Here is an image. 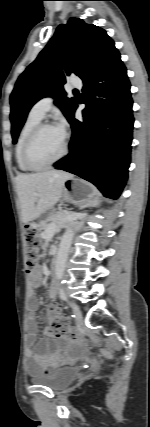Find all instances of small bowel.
Masks as SVG:
<instances>
[{
	"label": "small bowel",
	"instance_id": "obj_1",
	"mask_svg": "<svg viewBox=\"0 0 150 427\" xmlns=\"http://www.w3.org/2000/svg\"><path fill=\"white\" fill-rule=\"evenodd\" d=\"M29 282L32 288H38L42 284V269L38 266L29 273ZM57 283L53 281L50 285L49 296L56 297ZM39 302L31 297L29 303L30 315L26 321L25 351L26 368L30 375L48 373L61 364L71 360L82 352V345L77 340L61 337L54 341L50 337L37 339L38 322L35 316Z\"/></svg>",
	"mask_w": 150,
	"mask_h": 427
}]
</instances>
